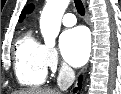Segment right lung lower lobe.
I'll return each instance as SVG.
<instances>
[{
	"label": "right lung lower lobe",
	"mask_w": 121,
	"mask_h": 94,
	"mask_svg": "<svg viewBox=\"0 0 121 94\" xmlns=\"http://www.w3.org/2000/svg\"><path fill=\"white\" fill-rule=\"evenodd\" d=\"M81 80H82V78L80 77V78H79V83H78L79 86H81ZM77 89H78V88H75L74 91H76Z\"/></svg>",
	"instance_id": "right-lung-lower-lobe-1"
}]
</instances>
